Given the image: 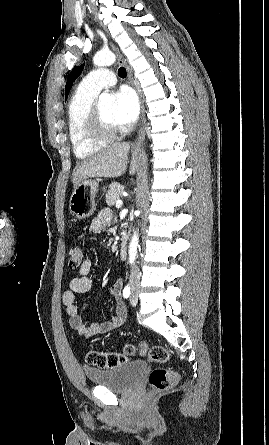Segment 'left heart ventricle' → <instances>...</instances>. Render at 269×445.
Masks as SVG:
<instances>
[{
  "mask_svg": "<svg viewBox=\"0 0 269 445\" xmlns=\"http://www.w3.org/2000/svg\"><path fill=\"white\" fill-rule=\"evenodd\" d=\"M98 108H99V111H100V113H101V115H102V117L104 118L105 121H107L108 123L116 125V122H115L114 117H113L114 107H113L112 104L102 105V106H99Z\"/></svg>",
  "mask_w": 269,
  "mask_h": 445,
  "instance_id": "b2bd125f",
  "label": "left heart ventricle"
}]
</instances>
